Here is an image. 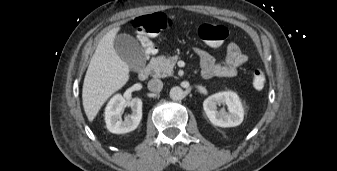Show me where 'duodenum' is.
<instances>
[{
  "mask_svg": "<svg viewBox=\"0 0 337 171\" xmlns=\"http://www.w3.org/2000/svg\"><path fill=\"white\" fill-rule=\"evenodd\" d=\"M149 75H150V68L146 66L139 71L138 78L143 81L146 80L149 77Z\"/></svg>",
  "mask_w": 337,
  "mask_h": 171,
  "instance_id": "duodenum-1",
  "label": "duodenum"
}]
</instances>
